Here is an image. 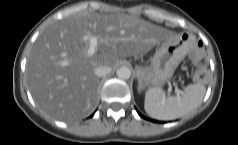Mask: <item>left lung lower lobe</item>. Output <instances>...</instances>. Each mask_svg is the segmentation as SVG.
Segmentation results:
<instances>
[{"instance_id": "obj_1", "label": "left lung lower lobe", "mask_w": 238, "mask_h": 145, "mask_svg": "<svg viewBox=\"0 0 238 145\" xmlns=\"http://www.w3.org/2000/svg\"><path fill=\"white\" fill-rule=\"evenodd\" d=\"M138 112V114L141 116V117H143L144 118V116L139 112V111H137Z\"/></svg>"}]
</instances>
